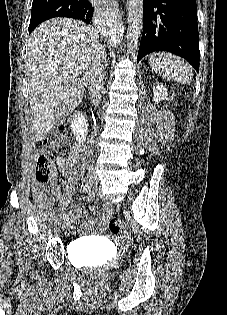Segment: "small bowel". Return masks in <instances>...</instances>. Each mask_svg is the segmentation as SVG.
<instances>
[{"instance_id": "c3829d8e", "label": "small bowel", "mask_w": 227, "mask_h": 315, "mask_svg": "<svg viewBox=\"0 0 227 315\" xmlns=\"http://www.w3.org/2000/svg\"><path fill=\"white\" fill-rule=\"evenodd\" d=\"M80 158V149L78 147H74L71 152L67 156L59 155L56 157V164L59 172L63 176H69L71 174L72 166L79 160ZM32 192L33 196L40 207H47L50 203L49 199L47 198L45 187L38 184L32 185ZM51 192L54 197L58 200L62 199V194L57 186L56 177L53 178L51 183ZM105 212L107 215L110 214L111 209L109 206L105 207ZM75 213L80 217H86L87 212L85 208L81 205L76 206Z\"/></svg>"}]
</instances>
